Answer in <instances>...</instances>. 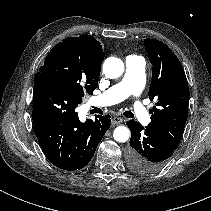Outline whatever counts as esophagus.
<instances>
[{"label":"esophagus","mask_w":211,"mask_h":211,"mask_svg":"<svg viewBox=\"0 0 211 211\" xmlns=\"http://www.w3.org/2000/svg\"><path fill=\"white\" fill-rule=\"evenodd\" d=\"M122 122H123L122 118H120V117H113L112 120H111V125L112 126H116V125H118V124H120Z\"/></svg>","instance_id":"1"}]
</instances>
